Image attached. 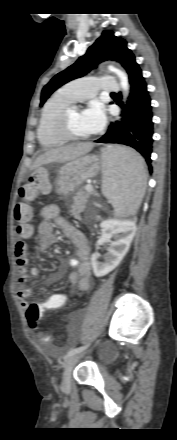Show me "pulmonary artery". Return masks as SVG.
<instances>
[{"label": "pulmonary artery", "mask_w": 177, "mask_h": 440, "mask_svg": "<svg viewBox=\"0 0 177 440\" xmlns=\"http://www.w3.org/2000/svg\"><path fill=\"white\" fill-rule=\"evenodd\" d=\"M75 101L89 99L99 90L104 92H117L119 86L113 76H88L71 81L64 86Z\"/></svg>", "instance_id": "1"}]
</instances>
